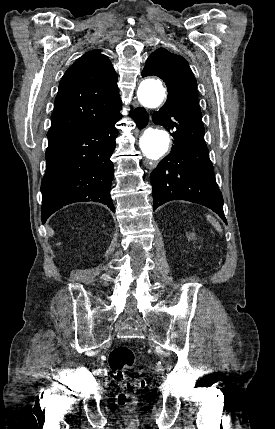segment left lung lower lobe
<instances>
[{"label":"left lung lower lobe","mask_w":275,"mask_h":429,"mask_svg":"<svg viewBox=\"0 0 275 429\" xmlns=\"http://www.w3.org/2000/svg\"><path fill=\"white\" fill-rule=\"evenodd\" d=\"M152 119L172 130L174 137L170 153L150 175L153 209L170 200H187L212 209L227 224L222 194L204 140L201 113L181 104L165 103Z\"/></svg>","instance_id":"1"}]
</instances>
